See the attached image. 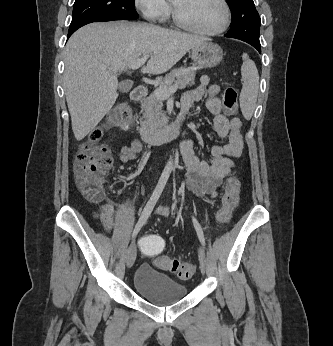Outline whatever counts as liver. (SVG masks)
Instances as JSON below:
<instances>
[{"mask_svg": "<svg viewBox=\"0 0 333 346\" xmlns=\"http://www.w3.org/2000/svg\"><path fill=\"white\" fill-rule=\"evenodd\" d=\"M206 38L150 24L92 23L77 30L64 51V91L77 141L85 138L118 98L117 75L144 55L142 73L162 74Z\"/></svg>", "mask_w": 333, "mask_h": 346, "instance_id": "6515ba94", "label": "liver"}]
</instances>
